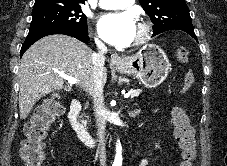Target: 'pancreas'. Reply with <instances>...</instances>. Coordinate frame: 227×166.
Here are the masks:
<instances>
[{
    "instance_id": "obj_1",
    "label": "pancreas",
    "mask_w": 227,
    "mask_h": 166,
    "mask_svg": "<svg viewBox=\"0 0 227 166\" xmlns=\"http://www.w3.org/2000/svg\"><path fill=\"white\" fill-rule=\"evenodd\" d=\"M141 92V89H131L129 91L131 98L138 97ZM83 123L87 124V120L83 121Z\"/></svg>"
}]
</instances>
